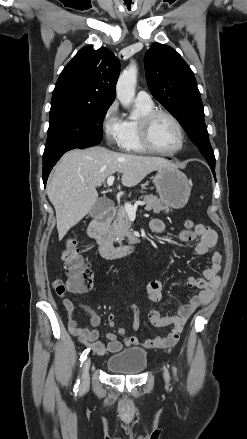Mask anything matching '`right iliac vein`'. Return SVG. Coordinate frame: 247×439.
<instances>
[{
    "label": "right iliac vein",
    "mask_w": 247,
    "mask_h": 439,
    "mask_svg": "<svg viewBox=\"0 0 247 439\" xmlns=\"http://www.w3.org/2000/svg\"><path fill=\"white\" fill-rule=\"evenodd\" d=\"M91 365L90 358H86L82 366L81 385L85 387L89 383V369Z\"/></svg>",
    "instance_id": "63e3f726"
}]
</instances>
